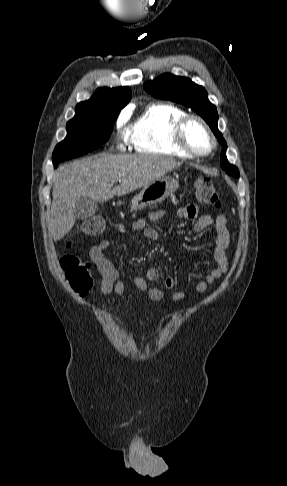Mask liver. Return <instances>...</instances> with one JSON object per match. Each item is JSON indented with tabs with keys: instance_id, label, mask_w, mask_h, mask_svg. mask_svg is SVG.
Here are the masks:
<instances>
[{
	"instance_id": "1",
	"label": "liver",
	"mask_w": 287,
	"mask_h": 486,
	"mask_svg": "<svg viewBox=\"0 0 287 486\" xmlns=\"http://www.w3.org/2000/svg\"><path fill=\"white\" fill-rule=\"evenodd\" d=\"M181 165L165 156L100 154L61 167L53 184L50 236L58 241L72 229L75 204L82 196L97 202L108 201L144 187ZM116 181L120 185L112 189Z\"/></svg>"
}]
</instances>
